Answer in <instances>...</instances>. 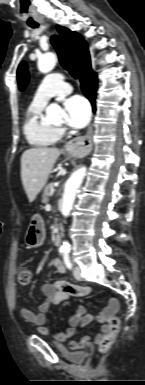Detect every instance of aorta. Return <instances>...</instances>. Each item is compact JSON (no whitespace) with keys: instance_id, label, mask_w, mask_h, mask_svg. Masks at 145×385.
Returning <instances> with one entry per match:
<instances>
[{"instance_id":"aorta-1","label":"aorta","mask_w":145,"mask_h":385,"mask_svg":"<svg viewBox=\"0 0 145 385\" xmlns=\"http://www.w3.org/2000/svg\"><path fill=\"white\" fill-rule=\"evenodd\" d=\"M56 62L57 58L55 54L46 53L39 58L38 68L42 73H48L55 67ZM61 112V108L55 104L49 105L46 109V114L48 117H53L54 115L59 114ZM85 174L86 168L81 167L71 175V177L65 184L61 206V213L65 217H68L70 214L73 203L75 201L76 191L82 184ZM60 249L63 251H68L70 249V245L68 244V242H63Z\"/></svg>"}]
</instances>
